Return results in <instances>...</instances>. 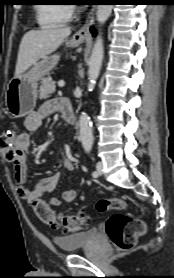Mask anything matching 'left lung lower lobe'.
<instances>
[{
  "mask_svg": "<svg viewBox=\"0 0 174 278\" xmlns=\"http://www.w3.org/2000/svg\"><path fill=\"white\" fill-rule=\"evenodd\" d=\"M91 32H92L93 35H95V31H94L93 28H91Z\"/></svg>",
  "mask_w": 174,
  "mask_h": 278,
  "instance_id": "left-lung-lower-lobe-1",
  "label": "left lung lower lobe"
}]
</instances>
